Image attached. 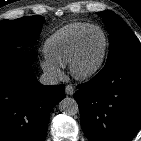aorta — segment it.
<instances>
[{
  "label": "aorta",
  "mask_w": 141,
  "mask_h": 141,
  "mask_svg": "<svg viewBox=\"0 0 141 141\" xmlns=\"http://www.w3.org/2000/svg\"><path fill=\"white\" fill-rule=\"evenodd\" d=\"M59 110L66 115H75L79 111L78 104L75 99L66 97L59 102Z\"/></svg>",
  "instance_id": "762f6f07"
}]
</instances>
